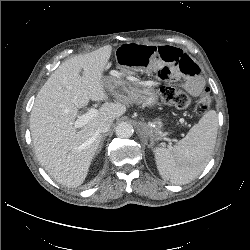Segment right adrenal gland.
Listing matches in <instances>:
<instances>
[{
	"label": "right adrenal gland",
	"instance_id": "obj_1",
	"mask_svg": "<svg viewBox=\"0 0 250 250\" xmlns=\"http://www.w3.org/2000/svg\"><path fill=\"white\" fill-rule=\"evenodd\" d=\"M107 136V134H103L102 135V138H101V142H100V144H99V146H98V149H97V153H99L100 151H101V149H102V145H103V142H104V139H105V137Z\"/></svg>",
	"mask_w": 250,
	"mask_h": 250
}]
</instances>
